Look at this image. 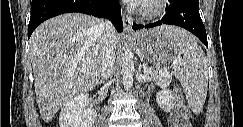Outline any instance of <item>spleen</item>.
I'll list each match as a JSON object with an SVG mask.
<instances>
[{"instance_id": "3e777b00", "label": "spleen", "mask_w": 243, "mask_h": 127, "mask_svg": "<svg viewBox=\"0 0 243 127\" xmlns=\"http://www.w3.org/2000/svg\"><path fill=\"white\" fill-rule=\"evenodd\" d=\"M167 33L178 50L173 73L180 80L191 109L199 113L208 89V62L205 53L195 37L185 30L171 28Z\"/></svg>"}]
</instances>
